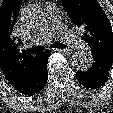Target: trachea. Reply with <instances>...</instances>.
<instances>
[{"label":"trachea","instance_id":"1","mask_svg":"<svg viewBox=\"0 0 113 113\" xmlns=\"http://www.w3.org/2000/svg\"><path fill=\"white\" fill-rule=\"evenodd\" d=\"M52 47L54 48H65L66 46L62 43H59V42H54L51 44ZM43 51V47L42 46H36L32 49H29V50H25V52L27 54H33V53H40Z\"/></svg>","mask_w":113,"mask_h":113}]
</instances>
